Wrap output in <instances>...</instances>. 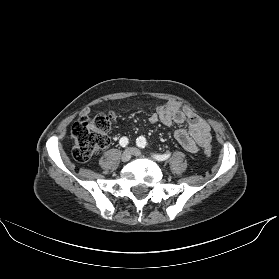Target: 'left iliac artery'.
<instances>
[{"label": "left iliac artery", "instance_id": "left-iliac-artery-1", "mask_svg": "<svg viewBox=\"0 0 279 279\" xmlns=\"http://www.w3.org/2000/svg\"><path fill=\"white\" fill-rule=\"evenodd\" d=\"M146 139L143 137V136H140L139 138H137L136 140V144L138 147L140 148H145L146 147ZM171 156L170 153H167V154H163V155H160V154H153V157L158 160V161H165L167 160L169 157Z\"/></svg>", "mask_w": 279, "mask_h": 279}]
</instances>
